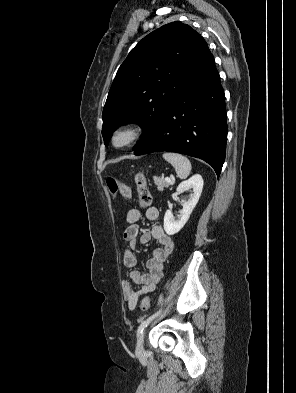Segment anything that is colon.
<instances>
[{
	"instance_id": "colon-1",
	"label": "colon",
	"mask_w": 296,
	"mask_h": 393,
	"mask_svg": "<svg viewBox=\"0 0 296 393\" xmlns=\"http://www.w3.org/2000/svg\"><path fill=\"white\" fill-rule=\"evenodd\" d=\"M135 182L138 192V202L141 208H147L151 202V196L147 186V180L143 173H138L135 176ZM107 186L113 194H120L125 200L132 199V191L129 185L116 180L115 178H107ZM140 308L143 312H147L150 308V300L144 297L141 301Z\"/></svg>"
}]
</instances>
